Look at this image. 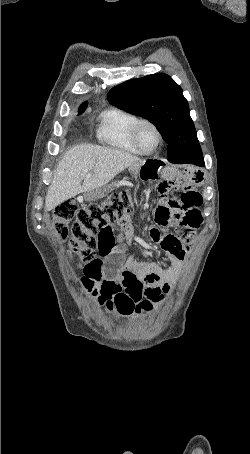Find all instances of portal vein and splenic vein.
<instances>
[{
    "mask_svg": "<svg viewBox=\"0 0 250 454\" xmlns=\"http://www.w3.org/2000/svg\"><path fill=\"white\" fill-rule=\"evenodd\" d=\"M90 176H91V174H90V173H88V174L86 175V177H90Z\"/></svg>",
    "mask_w": 250,
    "mask_h": 454,
    "instance_id": "18ae733b",
    "label": "portal vein and splenic vein"
}]
</instances>
